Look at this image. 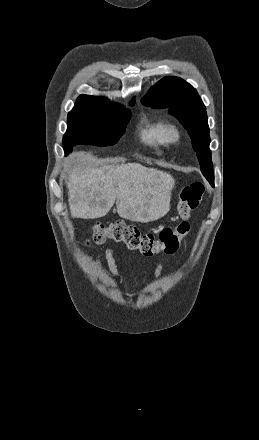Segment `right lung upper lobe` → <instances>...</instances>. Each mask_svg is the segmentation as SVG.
<instances>
[{"instance_id":"1","label":"right lung upper lobe","mask_w":259,"mask_h":440,"mask_svg":"<svg viewBox=\"0 0 259 440\" xmlns=\"http://www.w3.org/2000/svg\"><path fill=\"white\" fill-rule=\"evenodd\" d=\"M76 105L89 106L95 108H108L113 106L107 99L89 95H81L78 97Z\"/></svg>"}]
</instances>
